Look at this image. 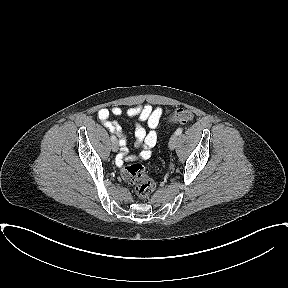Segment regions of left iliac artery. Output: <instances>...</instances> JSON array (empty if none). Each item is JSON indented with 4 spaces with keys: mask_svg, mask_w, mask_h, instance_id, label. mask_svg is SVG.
<instances>
[{
    "mask_svg": "<svg viewBox=\"0 0 288 288\" xmlns=\"http://www.w3.org/2000/svg\"><path fill=\"white\" fill-rule=\"evenodd\" d=\"M183 129L182 128H178L176 131H175V135H180L182 133Z\"/></svg>",
    "mask_w": 288,
    "mask_h": 288,
    "instance_id": "1",
    "label": "left iliac artery"
}]
</instances>
